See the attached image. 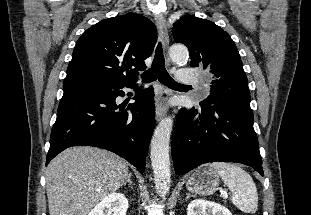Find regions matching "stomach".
<instances>
[{"label": "stomach", "instance_id": "stomach-1", "mask_svg": "<svg viewBox=\"0 0 311 215\" xmlns=\"http://www.w3.org/2000/svg\"><path fill=\"white\" fill-rule=\"evenodd\" d=\"M219 177L210 169V165H203L189 177L186 187L191 193L201 196L211 195L219 185Z\"/></svg>", "mask_w": 311, "mask_h": 215}]
</instances>
